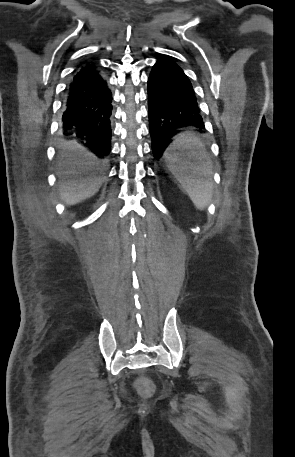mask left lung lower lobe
<instances>
[{
    "mask_svg": "<svg viewBox=\"0 0 295 457\" xmlns=\"http://www.w3.org/2000/svg\"><path fill=\"white\" fill-rule=\"evenodd\" d=\"M149 128L155 159H160L180 128H204L194 90L188 77L173 60L162 57L148 78Z\"/></svg>",
    "mask_w": 295,
    "mask_h": 457,
    "instance_id": "obj_1",
    "label": "left lung lower lobe"
}]
</instances>
